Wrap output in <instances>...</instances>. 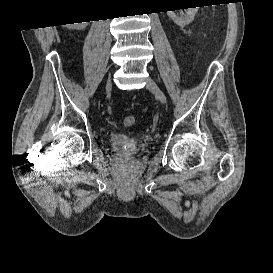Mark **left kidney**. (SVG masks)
<instances>
[{
    "label": "left kidney",
    "mask_w": 273,
    "mask_h": 273,
    "mask_svg": "<svg viewBox=\"0 0 273 273\" xmlns=\"http://www.w3.org/2000/svg\"><path fill=\"white\" fill-rule=\"evenodd\" d=\"M185 14H180L177 15L175 12L176 10L173 11H167V15L169 18H171L177 25H179L180 27H184L188 24H190L195 17V14L198 11V7L196 8H188V9H184Z\"/></svg>",
    "instance_id": "1"
}]
</instances>
